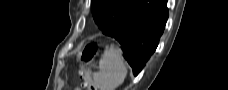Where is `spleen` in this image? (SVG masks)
I'll list each match as a JSON object with an SVG mask.
<instances>
[{"instance_id":"1","label":"spleen","mask_w":228,"mask_h":90,"mask_svg":"<svg viewBox=\"0 0 228 90\" xmlns=\"http://www.w3.org/2000/svg\"><path fill=\"white\" fill-rule=\"evenodd\" d=\"M127 76L122 51L114 46L106 47L100 61L99 71L93 72V81L99 90H115Z\"/></svg>"}]
</instances>
